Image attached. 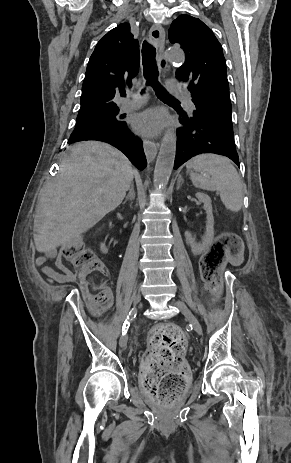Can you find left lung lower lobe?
Masks as SVG:
<instances>
[{"mask_svg": "<svg viewBox=\"0 0 291 463\" xmlns=\"http://www.w3.org/2000/svg\"><path fill=\"white\" fill-rule=\"evenodd\" d=\"M177 129V147L174 169L200 154L226 156L239 166L233 127L225 126L198 116L181 114Z\"/></svg>", "mask_w": 291, "mask_h": 463, "instance_id": "obj_1", "label": "left lung lower lobe"}]
</instances>
